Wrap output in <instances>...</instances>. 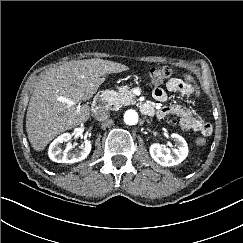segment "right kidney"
Returning <instances> with one entry per match:
<instances>
[{
  "instance_id": "obj_1",
  "label": "right kidney",
  "mask_w": 243,
  "mask_h": 243,
  "mask_svg": "<svg viewBox=\"0 0 243 243\" xmlns=\"http://www.w3.org/2000/svg\"><path fill=\"white\" fill-rule=\"evenodd\" d=\"M70 133H64L58 136L49 146L48 155L49 158L58 163H76L84 160L91 151V141L85 140L80 150L71 151L73 146L68 143L64 150L61 148L63 142L71 140Z\"/></svg>"
}]
</instances>
